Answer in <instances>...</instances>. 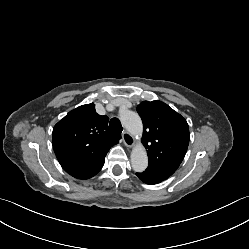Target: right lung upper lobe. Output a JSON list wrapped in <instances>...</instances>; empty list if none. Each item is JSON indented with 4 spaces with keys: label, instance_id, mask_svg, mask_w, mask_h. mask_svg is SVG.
Returning <instances> with one entry per match:
<instances>
[{
    "label": "right lung upper lobe",
    "instance_id": "right-lung-upper-lobe-1",
    "mask_svg": "<svg viewBox=\"0 0 249 249\" xmlns=\"http://www.w3.org/2000/svg\"><path fill=\"white\" fill-rule=\"evenodd\" d=\"M53 149L62 168L77 179H88L102 168L109 149L120 135L108 127L93 103L70 111L53 128Z\"/></svg>",
    "mask_w": 249,
    "mask_h": 249
}]
</instances>
